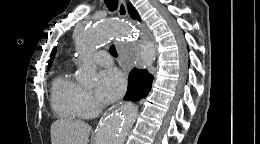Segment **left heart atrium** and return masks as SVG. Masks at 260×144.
<instances>
[{
  "label": "left heart atrium",
  "instance_id": "1",
  "mask_svg": "<svg viewBox=\"0 0 260 144\" xmlns=\"http://www.w3.org/2000/svg\"><path fill=\"white\" fill-rule=\"evenodd\" d=\"M126 88L124 75L111 68L100 72L98 76L97 96L104 103H110L120 98Z\"/></svg>",
  "mask_w": 260,
  "mask_h": 144
}]
</instances>
